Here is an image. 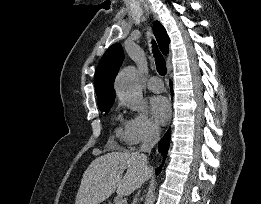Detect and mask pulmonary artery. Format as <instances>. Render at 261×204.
<instances>
[{
    "mask_svg": "<svg viewBox=\"0 0 261 204\" xmlns=\"http://www.w3.org/2000/svg\"><path fill=\"white\" fill-rule=\"evenodd\" d=\"M147 87L150 91L155 93H160L164 90V85L157 76H153L148 80Z\"/></svg>",
    "mask_w": 261,
    "mask_h": 204,
    "instance_id": "1",
    "label": "pulmonary artery"
}]
</instances>
